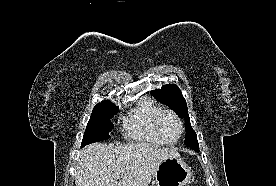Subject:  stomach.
Masks as SVG:
<instances>
[{
	"mask_svg": "<svg viewBox=\"0 0 276 186\" xmlns=\"http://www.w3.org/2000/svg\"><path fill=\"white\" fill-rule=\"evenodd\" d=\"M191 169L179 156H170L158 166L153 186H187Z\"/></svg>",
	"mask_w": 276,
	"mask_h": 186,
	"instance_id": "0dacf381",
	"label": "stomach"
}]
</instances>
